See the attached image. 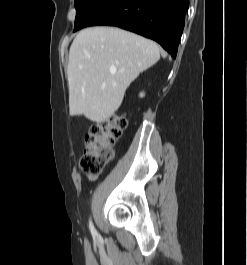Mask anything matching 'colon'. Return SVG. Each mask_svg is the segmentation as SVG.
Segmentation results:
<instances>
[{"instance_id": "obj_1", "label": "colon", "mask_w": 247, "mask_h": 265, "mask_svg": "<svg viewBox=\"0 0 247 265\" xmlns=\"http://www.w3.org/2000/svg\"><path fill=\"white\" fill-rule=\"evenodd\" d=\"M126 125V117L116 114L90 127L85 137L86 149L81 159V166L87 174H98L110 162L114 156L113 146Z\"/></svg>"}]
</instances>
